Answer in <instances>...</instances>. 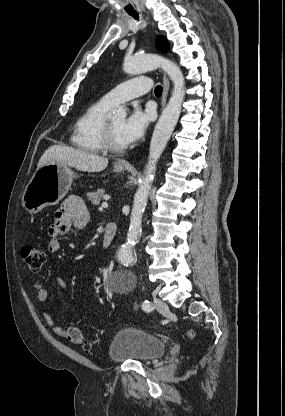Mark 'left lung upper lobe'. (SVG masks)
I'll return each instance as SVG.
<instances>
[{
    "mask_svg": "<svg viewBox=\"0 0 285 416\" xmlns=\"http://www.w3.org/2000/svg\"><path fill=\"white\" fill-rule=\"evenodd\" d=\"M156 48L159 51L166 53L169 50V44L164 37L160 36L156 40Z\"/></svg>",
    "mask_w": 285,
    "mask_h": 416,
    "instance_id": "obj_1",
    "label": "left lung upper lobe"
}]
</instances>
